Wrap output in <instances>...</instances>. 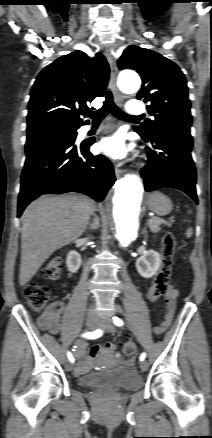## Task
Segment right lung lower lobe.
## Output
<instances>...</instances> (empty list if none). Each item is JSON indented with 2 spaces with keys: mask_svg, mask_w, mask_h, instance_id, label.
Returning a JSON list of instances; mask_svg holds the SVG:
<instances>
[{
  "mask_svg": "<svg viewBox=\"0 0 212 438\" xmlns=\"http://www.w3.org/2000/svg\"><path fill=\"white\" fill-rule=\"evenodd\" d=\"M77 133L55 126L27 135L26 161L21 176L18 217L41 195L80 192L102 201L116 181L104 155L94 156V140L75 145Z\"/></svg>",
  "mask_w": 212,
  "mask_h": 438,
  "instance_id": "obj_1",
  "label": "right lung lower lobe"
}]
</instances>
